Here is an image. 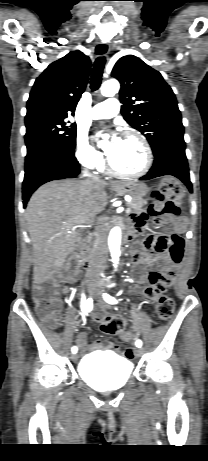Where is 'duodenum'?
<instances>
[{
	"instance_id": "obj_1",
	"label": "duodenum",
	"mask_w": 208,
	"mask_h": 461,
	"mask_svg": "<svg viewBox=\"0 0 208 461\" xmlns=\"http://www.w3.org/2000/svg\"><path fill=\"white\" fill-rule=\"evenodd\" d=\"M125 238L126 240L131 239L132 234L128 233ZM78 245L82 266L84 269H88L90 267L94 252L91 248L89 235L86 232L82 231L80 233Z\"/></svg>"
}]
</instances>
